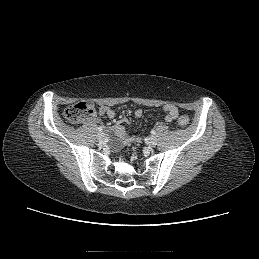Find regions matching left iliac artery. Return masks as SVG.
<instances>
[{
  "label": "left iliac artery",
  "mask_w": 259,
  "mask_h": 259,
  "mask_svg": "<svg viewBox=\"0 0 259 259\" xmlns=\"http://www.w3.org/2000/svg\"><path fill=\"white\" fill-rule=\"evenodd\" d=\"M156 133V131L153 129V130H151V134H155Z\"/></svg>",
  "instance_id": "44dca946"
}]
</instances>
